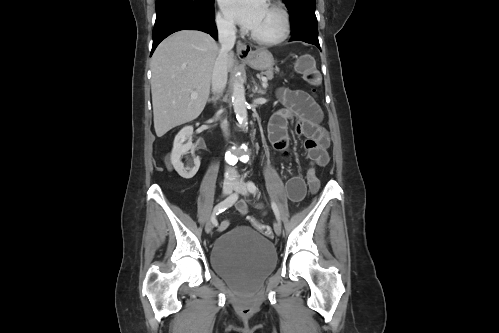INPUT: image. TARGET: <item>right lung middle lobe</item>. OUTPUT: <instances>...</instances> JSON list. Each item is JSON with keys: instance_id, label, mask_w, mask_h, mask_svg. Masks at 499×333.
I'll use <instances>...</instances> for the list:
<instances>
[{"instance_id": "dd1d6c3e", "label": "right lung middle lobe", "mask_w": 499, "mask_h": 333, "mask_svg": "<svg viewBox=\"0 0 499 333\" xmlns=\"http://www.w3.org/2000/svg\"><path fill=\"white\" fill-rule=\"evenodd\" d=\"M176 11L207 15L214 12V0H156L157 17Z\"/></svg>"}]
</instances>
